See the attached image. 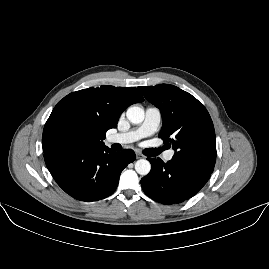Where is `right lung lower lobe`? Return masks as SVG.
<instances>
[{
  "label": "right lung lower lobe",
  "mask_w": 269,
  "mask_h": 269,
  "mask_svg": "<svg viewBox=\"0 0 269 269\" xmlns=\"http://www.w3.org/2000/svg\"><path fill=\"white\" fill-rule=\"evenodd\" d=\"M135 153H116L104 144L76 143L44 152V160L57 184L81 201H97L117 188L122 170L135 160Z\"/></svg>",
  "instance_id": "right-lung-lower-lobe-1"
}]
</instances>
